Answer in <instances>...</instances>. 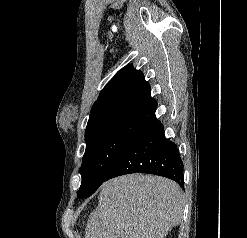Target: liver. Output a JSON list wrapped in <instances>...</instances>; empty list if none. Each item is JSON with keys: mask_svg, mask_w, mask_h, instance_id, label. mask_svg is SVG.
<instances>
[{"mask_svg": "<svg viewBox=\"0 0 247 238\" xmlns=\"http://www.w3.org/2000/svg\"><path fill=\"white\" fill-rule=\"evenodd\" d=\"M184 197L175 182L130 174L105 182L85 238H164L182 221Z\"/></svg>", "mask_w": 247, "mask_h": 238, "instance_id": "1", "label": "liver"}]
</instances>
